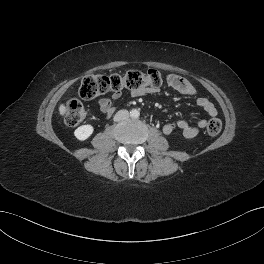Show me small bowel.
Segmentation results:
<instances>
[{"mask_svg":"<svg viewBox=\"0 0 264 264\" xmlns=\"http://www.w3.org/2000/svg\"><path fill=\"white\" fill-rule=\"evenodd\" d=\"M166 81L170 87L175 89L180 94L194 97L196 99L197 105L202 108L206 114L211 117L217 115V109L215 108L214 104L206 97L200 95L198 90L187 79L175 74H170L167 76ZM150 92L151 89L146 88L133 91L132 95L137 97L143 96ZM121 96L122 93L118 91L114 92L111 98H101L98 102L101 113L107 117L111 116L115 112L116 103L121 98ZM206 124V119H200L196 126L190 125L184 119H181L177 122L178 128L181 130L183 137L186 139L195 138L199 134L200 129L204 128ZM162 130L165 134H171L174 130V125L170 122H167L163 125Z\"/></svg>","mask_w":264,"mask_h":264,"instance_id":"c3829d8e","label":"small bowel"}]
</instances>
